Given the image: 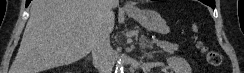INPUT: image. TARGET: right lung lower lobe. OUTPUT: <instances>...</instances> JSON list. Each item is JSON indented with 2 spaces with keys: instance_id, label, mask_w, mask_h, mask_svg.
I'll return each mask as SVG.
<instances>
[{
  "instance_id": "obj_1",
  "label": "right lung lower lobe",
  "mask_w": 244,
  "mask_h": 73,
  "mask_svg": "<svg viewBox=\"0 0 244 73\" xmlns=\"http://www.w3.org/2000/svg\"><path fill=\"white\" fill-rule=\"evenodd\" d=\"M31 0H26V7L29 5Z\"/></svg>"
}]
</instances>
